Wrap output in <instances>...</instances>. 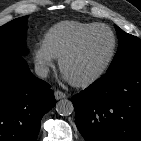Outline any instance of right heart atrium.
<instances>
[{
  "label": "right heart atrium",
  "mask_w": 141,
  "mask_h": 141,
  "mask_svg": "<svg viewBox=\"0 0 141 141\" xmlns=\"http://www.w3.org/2000/svg\"><path fill=\"white\" fill-rule=\"evenodd\" d=\"M32 57L36 70L42 77L46 76L55 65L54 58L42 45L37 46L33 50Z\"/></svg>",
  "instance_id": "obj_1"
}]
</instances>
